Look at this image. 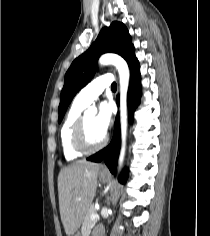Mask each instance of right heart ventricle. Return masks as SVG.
<instances>
[{"mask_svg": "<svg viewBox=\"0 0 210 236\" xmlns=\"http://www.w3.org/2000/svg\"><path fill=\"white\" fill-rule=\"evenodd\" d=\"M84 108L85 106L79 104L77 101H74L61 126V148L65 159L68 161L76 160L83 155V153L78 152L73 148L72 133L74 126L79 117L82 115Z\"/></svg>", "mask_w": 210, "mask_h": 236, "instance_id": "obj_1", "label": "right heart ventricle"}]
</instances>
